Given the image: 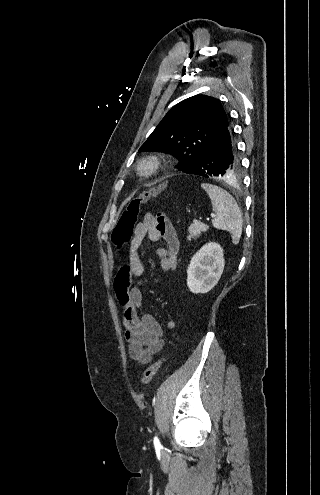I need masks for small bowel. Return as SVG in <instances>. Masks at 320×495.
Wrapping results in <instances>:
<instances>
[{"instance_id":"small-bowel-1","label":"small bowel","mask_w":320,"mask_h":495,"mask_svg":"<svg viewBox=\"0 0 320 495\" xmlns=\"http://www.w3.org/2000/svg\"><path fill=\"white\" fill-rule=\"evenodd\" d=\"M152 242L163 240L166 247L157 248L160 266L163 271H174L177 267L179 239L171 221L163 213L148 212L135 225L134 236L129 247V263L122 266L116 277V295L122 308V320L128 353L132 360L148 364L164 347L163 329L149 313L142 311L141 279L144 266L139 255V248L145 238ZM131 277L140 280L130 285ZM166 327L173 330L177 322L169 319Z\"/></svg>"}]
</instances>
